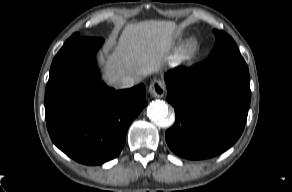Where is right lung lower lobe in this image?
I'll return each mask as SVG.
<instances>
[{"label":"right lung lower lobe","mask_w":292,"mask_h":192,"mask_svg":"<svg viewBox=\"0 0 292 192\" xmlns=\"http://www.w3.org/2000/svg\"><path fill=\"white\" fill-rule=\"evenodd\" d=\"M102 43V38L68 39L54 57L45 91L53 143L86 165L115 158L129 125L147 104L144 85L115 91L99 80L94 57Z\"/></svg>","instance_id":"1"}]
</instances>
